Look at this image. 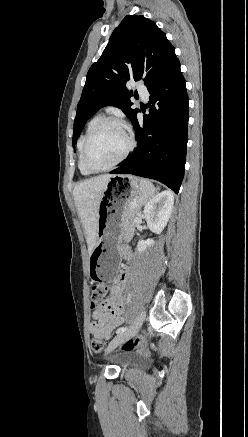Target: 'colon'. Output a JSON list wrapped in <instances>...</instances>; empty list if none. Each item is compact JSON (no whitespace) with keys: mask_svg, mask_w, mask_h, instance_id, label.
I'll list each match as a JSON object with an SVG mask.
<instances>
[{"mask_svg":"<svg viewBox=\"0 0 248 437\" xmlns=\"http://www.w3.org/2000/svg\"><path fill=\"white\" fill-rule=\"evenodd\" d=\"M109 287L108 286H92V290H91V303L93 305H97L108 293ZM147 341L145 338L143 337H138L135 339H129L126 340L121 348L124 351H131L134 350L136 348H142L146 345ZM91 349L96 352L99 353L101 351H103L104 347H105V343L99 339V338H93L91 340Z\"/></svg>","mask_w":248,"mask_h":437,"instance_id":"colon-1","label":"colon"}]
</instances>
